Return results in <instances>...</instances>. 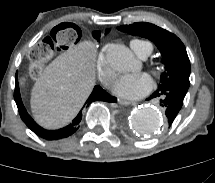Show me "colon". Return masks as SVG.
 <instances>
[{
    "mask_svg": "<svg viewBox=\"0 0 215 183\" xmlns=\"http://www.w3.org/2000/svg\"><path fill=\"white\" fill-rule=\"evenodd\" d=\"M81 36L82 30L76 21H61L50 32L33 41L25 60L27 72L36 78L46 76L51 70L53 60L76 45Z\"/></svg>",
    "mask_w": 215,
    "mask_h": 183,
    "instance_id": "obj_1",
    "label": "colon"
}]
</instances>
